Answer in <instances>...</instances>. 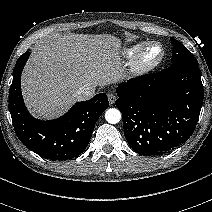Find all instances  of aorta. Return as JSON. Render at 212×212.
I'll return each instance as SVG.
<instances>
[{
    "label": "aorta",
    "instance_id": "obj_1",
    "mask_svg": "<svg viewBox=\"0 0 212 212\" xmlns=\"http://www.w3.org/2000/svg\"><path fill=\"white\" fill-rule=\"evenodd\" d=\"M105 119L110 124H116L121 120V112L116 108H110L105 112Z\"/></svg>",
    "mask_w": 212,
    "mask_h": 212
}]
</instances>
